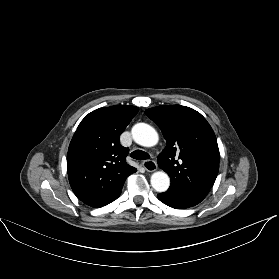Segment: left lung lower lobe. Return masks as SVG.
Returning <instances> with one entry per match:
<instances>
[{"label":"left lung lower lobe","instance_id":"1","mask_svg":"<svg viewBox=\"0 0 279 279\" xmlns=\"http://www.w3.org/2000/svg\"><path fill=\"white\" fill-rule=\"evenodd\" d=\"M158 199L164 204L176 208V209H185L197 205L202 200L190 195L182 194L179 192L167 190L164 193L157 195Z\"/></svg>","mask_w":279,"mask_h":279}]
</instances>
